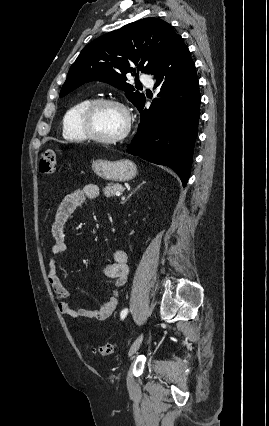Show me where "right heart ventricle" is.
Here are the masks:
<instances>
[{
  "mask_svg": "<svg viewBox=\"0 0 269 426\" xmlns=\"http://www.w3.org/2000/svg\"><path fill=\"white\" fill-rule=\"evenodd\" d=\"M92 100L90 97L83 98L65 112L63 117V135L65 138L73 141H85L88 139L81 126V116Z\"/></svg>",
  "mask_w": 269,
  "mask_h": 426,
  "instance_id": "1",
  "label": "right heart ventricle"
}]
</instances>
